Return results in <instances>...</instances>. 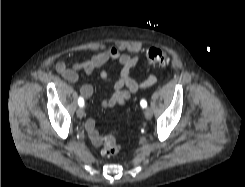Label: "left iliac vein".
<instances>
[{
  "instance_id": "4c4485c4",
  "label": "left iliac vein",
  "mask_w": 245,
  "mask_h": 187,
  "mask_svg": "<svg viewBox=\"0 0 245 187\" xmlns=\"http://www.w3.org/2000/svg\"><path fill=\"white\" fill-rule=\"evenodd\" d=\"M144 115L147 119H150L152 117V110L150 107L144 108Z\"/></svg>"
}]
</instances>
